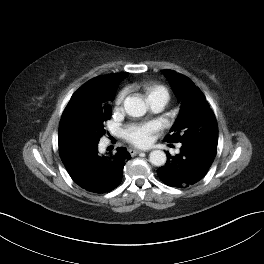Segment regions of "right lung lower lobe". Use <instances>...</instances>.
I'll return each mask as SVG.
<instances>
[{
	"label": "right lung lower lobe",
	"instance_id": "right-lung-lower-lobe-1",
	"mask_svg": "<svg viewBox=\"0 0 264 264\" xmlns=\"http://www.w3.org/2000/svg\"><path fill=\"white\" fill-rule=\"evenodd\" d=\"M98 143L84 138L59 141V154L76 184L89 192L105 193L120 184L124 165L131 156L124 147L116 154H101Z\"/></svg>",
	"mask_w": 264,
	"mask_h": 264
}]
</instances>
